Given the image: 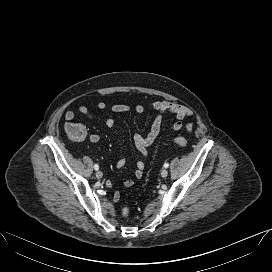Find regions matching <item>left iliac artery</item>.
<instances>
[{
	"label": "left iliac artery",
	"mask_w": 272,
	"mask_h": 272,
	"mask_svg": "<svg viewBox=\"0 0 272 272\" xmlns=\"http://www.w3.org/2000/svg\"><path fill=\"white\" fill-rule=\"evenodd\" d=\"M164 167H165V168H168V167H169V163H165V164H164Z\"/></svg>",
	"instance_id": "left-iliac-artery-1"
}]
</instances>
